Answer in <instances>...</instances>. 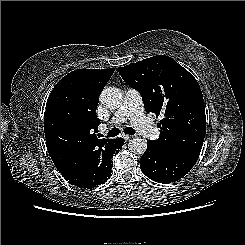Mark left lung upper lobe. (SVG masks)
<instances>
[{"mask_svg": "<svg viewBox=\"0 0 245 245\" xmlns=\"http://www.w3.org/2000/svg\"><path fill=\"white\" fill-rule=\"evenodd\" d=\"M142 96L147 112L164 115L160 136L150 140L161 151L199 157L206 133L203 95L194 76L168 56L160 55L118 68Z\"/></svg>", "mask_w": 245, "mask_h": 245, "instance_id": "1", "label": "left lung upper lobe"}]
</instances>
